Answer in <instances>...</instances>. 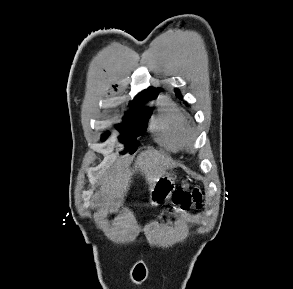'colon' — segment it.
I'll use <instances>...</instances> for the list:
<instances>
[{
    "mask_svg": "<svg viewBox=\"0 0 293 289\" xmlns=\"http://www.w3.org/2000/svg\"><path fill=\"white\" fill-rule=\"evenodd\" d=\"M172 200L170 211L173 213L201 207V193L197 188L188 190L185 186L179 187L174 191Z\"/></svg>",
    "mask_w": 293,
    "mask_h": 289,
    "instance_id": "obj_1",
    "label": "colon"
}]
</instances>
